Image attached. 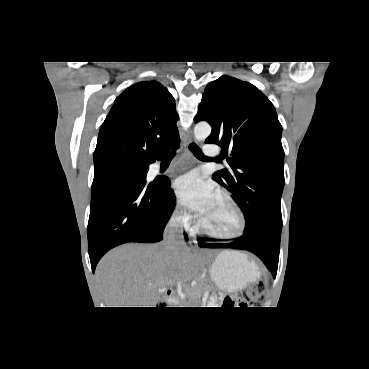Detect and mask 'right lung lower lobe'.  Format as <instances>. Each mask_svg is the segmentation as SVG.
Segmentation results:
<instances>
[{
    "instance_id": "98d812e1",
    "label": "right lung lower lobe",
    "mask_w": 369,
    "mask_h": 369,
    "mask_svg": "<svg viewBox=\"0 0 369 369\" xmlns=\"http://www.w3.org/2000/svg\"><path fill=\"white\" fill-rule=\"evenodd\" d=\"M149 164H144L148 166L146 174ZM169 184L167 177L146 184L131 172L113 178L92 193L87 235L93 272L100 258L115 246L162 240L176 203Z\"/></svg>"
}]
</instances>
